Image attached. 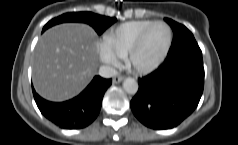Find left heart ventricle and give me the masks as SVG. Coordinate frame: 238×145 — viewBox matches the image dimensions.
Returning <instances> with one entry per match:
<instances>
[{"mask_svg": "<svg viewBox=\"0 0 238 145\" xmlns=\"http://www.w3.org/2000/svg\"><path fill=\"white\" fill-rule=\"evenodd\" d=\"M168 40L165 26L155 25L147 33L142 46L132 58L136 66H146L154 62L164 50Z\"/></svg>", "mask_w": 238, "mask_h": 145, "instance_id": "left-heart-ventricle-1", "label": "left heart ventricle"}]
</instances>
